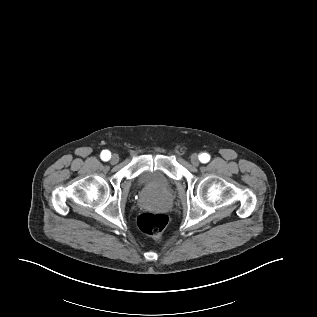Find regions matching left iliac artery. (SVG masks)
I'll return each instance as SVG.
<instances>
[{
	"instance_id": "44dca946",
	"label": "left iliac artery",
	"mask_w": 317,
	"mask_h": 317,
	"mask_svg": "<svg viewBox=\"0 0 317 317\" xmlns=\"http://www.w3.org/2000/svg\"><path fill=\"white\" fill-rule=\"evenodd\" d=\"M199 159L202 163H207L209 160H210V155L207 154V153H202L200 156H199Z\"/></svg>"
}]
</instances>
